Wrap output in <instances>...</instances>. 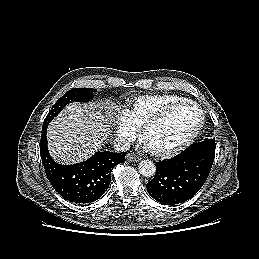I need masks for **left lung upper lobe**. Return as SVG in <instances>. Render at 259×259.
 <instances>
[{"mask_svg": "<svg viewBox=\"0 0 259 259\" xmlns=\"http://www.w3.org/2000/svg\"><path fill=\"white\" fill-rule=\"evenodd\" d=\"M198 144L200 146H205V147H209V148H212V149H215V147H216L215 140L209 139V138H205L204 141L199 142Z\"/></svg>", "mask_w": 259, "mask_h": 259, "instance_id": "5c2ea615", "label": "left lung upper lobe"}]
</instances>
